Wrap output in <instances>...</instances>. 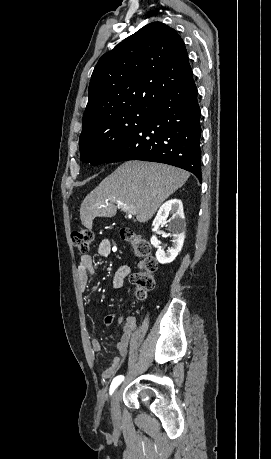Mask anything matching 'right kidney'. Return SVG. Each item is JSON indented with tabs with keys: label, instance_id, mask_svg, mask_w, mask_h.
<instances>
[{
	"label": "right kidney",
	"instance_id": "obj_1",
	"mask_svg": "<svg viewBox=\"0 0 271 459\" xmlns=\"http://www.w3.org/2000/svg\"><path fill=\"white\" fill-rule=\"evenodd\" d=\"M168 216H171L169 220V229L172 231L171 235H173L171 239L172 247H168L166 251H163L159 245L161 241L157 239L156 235H152L151 237L152 245L158 247L156 257L160 263H170V261H173L179 251H181L185 239L186 222L183 204L181 200H176V198L175 200H168V202H165L160 210H158V214L153 222V231L161 233V231H159V226L164 224V220H167Z\"/></svg>",
	"mask_w": 271,
	"mask_h": 459
}]
</instances>
